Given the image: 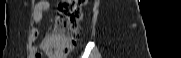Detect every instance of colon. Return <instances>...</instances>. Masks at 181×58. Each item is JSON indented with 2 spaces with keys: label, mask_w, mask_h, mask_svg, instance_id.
<instances>
[{
  "label": "colon",
  "mask_w": 181,
  "mask_h": 58,
  "mask_svg": "<svg viewBox=\"0 0 181 58\" xmlns=\"http://www.w3.org/2000/svg\"><path fill=\"white\" fill-rule=\"evenodd\" d=\"M86 0H64L58 5L56 28L48 38V48L54 55L66 56L80 38V23ZM41 57V53L36 55Z\"/></svg>",
  "instance_id": "1"
}]
</instances>
